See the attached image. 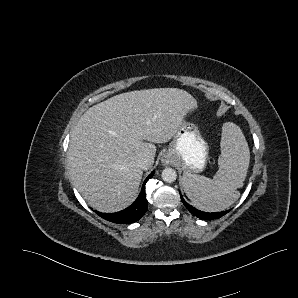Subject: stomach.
Here are the masks:
<instances>
[{
	"instance_id": "stomach-1",
	"label": "stomach",
	"mask_w": 298,
	"mask_h": 298,
	"mask_svg": "<svg viewBox=\"0 0 298 298\" xmlns=\"http://www.w3.org/2000/svg\"><path fill=\"white\" fill-rule=\"evenodd\" d=\"M190 117L191 109L182 113L180 123L162 154L161 162L165 165H175L184 173L197 174L202 173L207 167L210 145L198 124L189 120ZM182 185L184 188V180Z\"/></svg>"
}]
</instances>
